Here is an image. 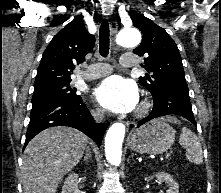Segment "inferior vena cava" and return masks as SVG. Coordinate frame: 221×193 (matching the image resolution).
I'll list each match as a JSON object with an SVG mask.
<instances>
[{
    "label": "inferior vena cava",
    "instance_id": "obj_1",
    "mask_svg": "<svg viewBox=\"0 0 221 193\" xmlns=\"http://www.w3.org/2000/svg\"><path fill=\"white\" fill-rule=\"evenodd\" d=\"M92 115L97 122H101L104 118V110L98 109L97 111L93 112Z\"/></svg>",
    "mask_w": 221,
    "mask_h": 193
}]
</instances>
